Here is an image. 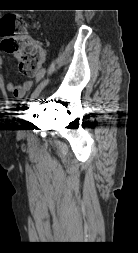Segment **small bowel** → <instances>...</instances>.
Returning <instances> with one entry per match:
<instances>
[{"instance_id":"c3829d8e","label":"small bowel","mask_w":138,"mask_h":253,"mask_svg":"<svg viewBox=\"0 0 138 253\" xmlns=\"http://www.w3.org/2000/svg\"><path fill=\"white\" fill-rule=\"evenodd\" d=\"M3 65V59L0 56V68ZM45 73V70H40L37 74V78L41 77ZM34 85V81L32 79L25 80L21 84H15L13 81H8L6 83V89L13 94V96L17 99L23 98L27 92H29Z\"/></svg>"}]
</instances>
